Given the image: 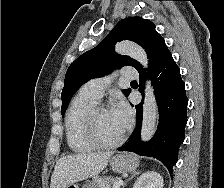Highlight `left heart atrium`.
<instances>
[{"label": "left heart atrium", "mask_w": 224, "mask_h": 188, "mask_svg": "<svg viewBox=\"0 0 224 188\" xmlns=\"http://www.w3.org/2000/svg\"><path fill=\"white\" fill-rule=\"evenodd\" d=\"M115 117L120 121L123 127H127L132 118V111L129 105L123 101L119 100L111 109Z\"/></svg>", "instance_id": "1"}]
</instances>
